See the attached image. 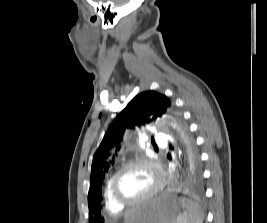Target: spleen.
I'll return each instance as SVG.
<instances>
[{"label": "spleen", "instance_id": "spleen-1", "mask_svg": "<svg viewBox=\"0 0 267 223\" xmlns=\"http://www.w3.org/2000/svg\"><path fill=\"white\" fill-rule=\"evenodd\" d=\"M179 202L184 211L177 217L176 223H203L204 213L197 203L187 198H180Z\"/></svg>", "mask_w": 267, "mask_h": 223}]
</instances>
